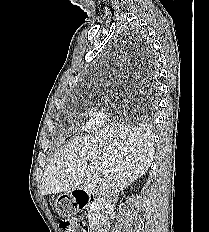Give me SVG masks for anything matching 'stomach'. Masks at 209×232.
<instances>
[{"label": "stomach", "instance_id": "stomach-1", "mask_svg": "<svg viewBox=\"0 0 209 232\" xmlns=\"http://www.w3.org/2000/svg\"><path fill=\"white\" fill-rule=\"evenodd\" d=\"M77 198L73 194H58L56 201V211L60 218H66V221H77V209L75 206Z\"/></svg>", "mask_w": 209, "mask_h": 232}]
</instances>
